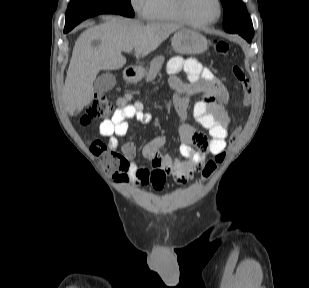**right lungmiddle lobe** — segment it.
I'll list each match as a JSON object with an SVG mask.
<instances>
[{
  "instance_id": "1",
  "label": "right lung middle lobe",
  "mask_w": 309,
  "mask_h": 288,
  "mask_svg": "<svg viewBox=\"0 0 309 288\" xmlns=\"http://www.w3.org/2000/svg\"><path fill=\"white\" fill-rule=\"evenodd\" d=\"M106 13L134 17L130 0H71L64 29L70 31L81 21Z\"/></svg>"
}]
</instances>
